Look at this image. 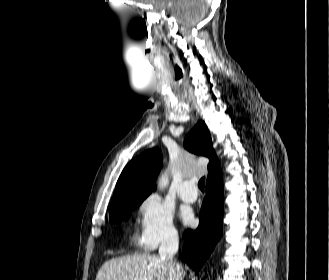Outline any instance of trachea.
Listing matches in <instances>:
<instances>
[{
  "mask_svg": "<svg viewBox=\"0 0 329 280\" xmlns=\"http://www.w3.org/2000/svg\"><path fill=\"white\" fill-rule=\"evenodd\" d=\"M198 187L200 190L204 191V187H205V177H202L199 182H198Z\"/></svg>",
  "mask_w": 329,
  "mask_h": 280,
  "instance_id": "obj_1",
  "label": "trachea"
}]
</instances>
